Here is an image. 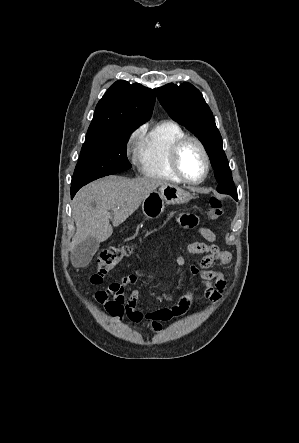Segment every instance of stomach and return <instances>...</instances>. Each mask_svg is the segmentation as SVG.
Segmentation results:
<instances>
[{"label":"stomach","mask_w":299,"mask_h":443,"mask_svg":"<svg viewBox=\"0 0 299 443\" xmlns=\"http://www.w3.org/2000/svg\"><path fill=\"white\" fill-rule=\"evenodd\" d=\"M189 192L172 184L160 186L151 192L142 202V212L147 219L158 218L165 209V204L180 205L191 200Z\"/></svg>","instance_id":"1"}]
</instances>
